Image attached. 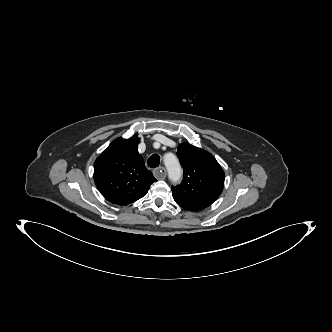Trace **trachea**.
Wrapping results in <instances>:
<instances>
[{"instance_id": "3493384b", "label": "trachea", "mask_w": 332, "mask_h": 332, "mask_svg": "<svg viewBox=\"0 0 332 332\" xmlns=\"http://www.w3.org/2000/svg\"><path fill=\"white\" fill-rule=\"evenodd\" d=\"M160 157L158 154H153L148 158V166L151 168H156L159 166Z\"/></svg>"}]
</instances>
